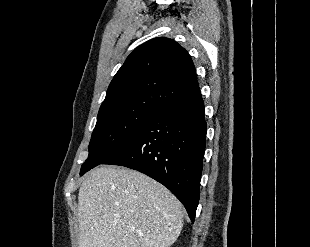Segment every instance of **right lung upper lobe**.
I'll return each mask as SVG.
<instances>
[{
  "mask_svg": "<svg viewBox=\"0 0 310 247\" xmlns=\"http://www.w3.org/2000/svg\"><path fill=\"white\" fill-rule=\"evenodd\" d=\"M199 90L188 52L165 37L138 46L111 81L98 115L134 107L163 109Z\"/></svg>",
  "mask_w": 310,
  "mask_h": 247,
  "instance_id": "cb5924a9",
  "label": "right lung upper lobe"
}]
</instances>
